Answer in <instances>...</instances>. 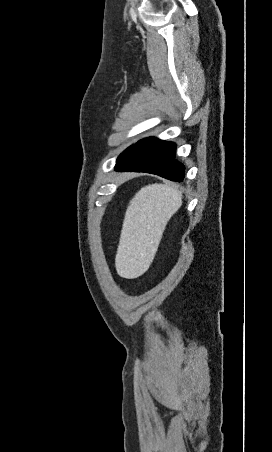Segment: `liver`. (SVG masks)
Wrapping results in <instances>:
<instances>
[{
  "label": "liver",
  "mask_w": 272,
  "mask_h": 452,
  "mask_svg": "<svg viewBox=\"0 0 272 452\" xmlns=\"http://www.w3.org/2000/svg\"><path fill=\"white\" fill-rule=\"evenodd\" d=\"M182 205V193L170 184H150L131 199L115 257L122 278L135 279L150 267L165 227Z\"/></svg>",
  "instance_id": "1"
}]
</instances>
